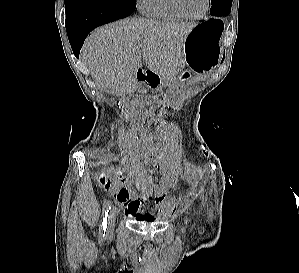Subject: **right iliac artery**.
Wrapping results in <instances>:
<instances>
[{
	"mask_svg": "<svg viewBox=\"0 0 299 273\" xmlns=\"http://www.w3.org/2000/svg\"><path fill=\"white\" fill-rule=\"evenodd\" d=\"M111 205H112L111 201H107L103 206L102 223H101L100 230H99L100 236L105 235V231L107 228V217H108V212L111 209Z\"/></svg>",
	"mask_w": 299,
	"mask_h": 273,
	"instance_id": "1",
	"label": "right iliac artery"
}]
</instances>
